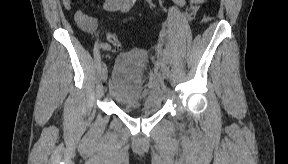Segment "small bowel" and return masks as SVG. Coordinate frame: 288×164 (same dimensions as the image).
<instances>
[{"instance_id":"c3829d8e","label":"small bowel","mask_w":288,"mask_h":164,"mask_svg":"<svg viewBox=\"0 0 288 164\" xmlns=\"http://www.w3.org/2000/svg\"><path fill=\"white\" fill-rule=\"evenodd\" d=\"M116 7H117L116 1H107V2H105V4H104V8H105L106 10H114V9H116ZM81 14L84 15V16L88 19V21H89V24H88L86 27H84V29H85V30H88V31L93 30V28H94V23H95L94 19H93L92 17L86 15V14L83 13L82 11H77V12L75 13V17H76L77 15H81Z\"/></svg>"}]
</instances>
